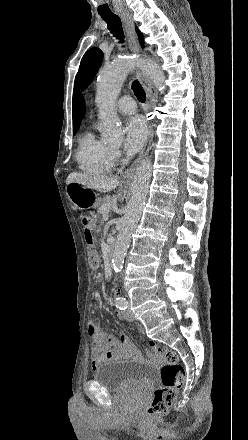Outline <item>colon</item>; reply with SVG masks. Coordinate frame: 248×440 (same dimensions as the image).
<instances>
[{"instance_id": "5ec220e1", "label": "colon", "mask_w": 248, "mask_h": 440, "mask_svg": "<svg viewBox=\"0 0 248 440\" xmlns=\"http://www.w3.org/2000/svg\"><path fill=\"white\" fill-rule=\"evenodd\" d=\"M82 223L85 228L86 242L89 246H92L94 243V219L90 216H85L82 219ZM89 261L93 269L98 267V257L92 250L89 251ZM154 348L164 352L165 363L160 369L161 386L155 390L152 402L146 409L147 415L151 418L159 417L168 413L185 377V370L179 363L178 357L174 351L163 349L158 345Z\"/></svg>"}]
</instances>
